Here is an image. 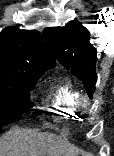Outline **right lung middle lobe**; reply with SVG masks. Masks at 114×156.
Returning <instances> with one entry per match:
<instances>
[{"mask_svg":"<svg viewBox=\"0 0 114 156\" xmlns=\"http://www.w3.org/2000/svg\"><path fill=\"white\" fill-rule=\"evenodd\" d=\"M41 75L0 76V128L21 116L30 103V93Z\"/></svg>","mask_w":114,"mask_h":156,"instance_id":"1","label":"right lung middle lobe"}]
</instances>
